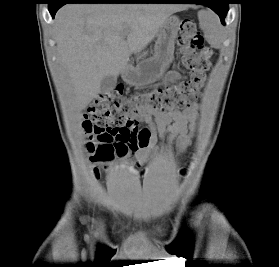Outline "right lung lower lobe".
Instances as JSON below:
<instances>
[{
  "label": "right lung lower lobe",
  "instance_id": "right-lung-lower-lobe-1",
  "mask_svg": "<svg viewBox=\"0 0 279 267\" xmlns=\"http://www.w3.org/2000/svg\"><path fill=\"white\" fill-rule=\"evenodd\" d=\"M161 0H51L49 11L54 18L57 10L67 3H159Z\"/></svg>",
  "mask_w": 279,
  "mask_h": 267
}]
</instances>
